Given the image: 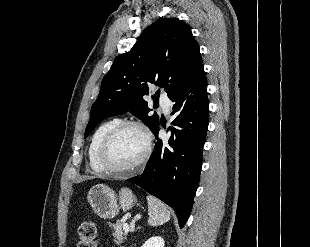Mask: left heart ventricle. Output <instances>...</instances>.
Here are the masks:
<instances>
[{"label": "left heart ventricle", "mask_w": 310, "mask_h": 247, "mask_svg": "<svg viewBox=\"0 0 310 247\" xmlns=\"http://www.w3.org/2000/svg\"><path fill=\"white\" fill-rule=\"evenodd\" d=\"M145 149L143 133L134 127H128L119 132L112 140L106 159L113 167H126L133 164Z\"/></svg>", "instance_id": "b2bd125f"}]
</instances>
